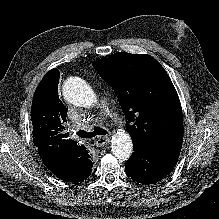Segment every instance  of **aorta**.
<instances>
[{"label":"aorta","mask_w":219,"mask_h":219,"mask_svg":"<svg viewBox=\"0 0 219 219\" xmlns=\"http://www.w3.org/2000/svg\"><path fill=\"white\" fill-rule=\"evenodd\" d=\"M62 89L65 100L75 106L91 107L97 102L93 89L80 78L66 80ZM111 150L117 159L128 160L133 152V143L129 133L125 130H118L113 134Z\"/></svg>","instance_id":"obj_1"}]
</instances>
